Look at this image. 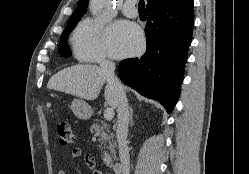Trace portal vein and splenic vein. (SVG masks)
Here are the masks:
<instances>
[{
	"instance_id": "portal-vein-and-splenic-vein-1",
	"label": "portal vein and splenic vein",
	"mask_w": 249,
	"mask_h": 174,
	"mask_svg": "<svg viewBox=\"0 0 249 174\" xmlns=\"http://www.w3.org/2000/svg\"><path fill=\"white\" fill-rule=\"evenodd\" d=\"M113 117H114V110H113V108H107V109H105V111H104V118L106 119V120H112L113 119Z\"/></svg>"
}]
</instances>
